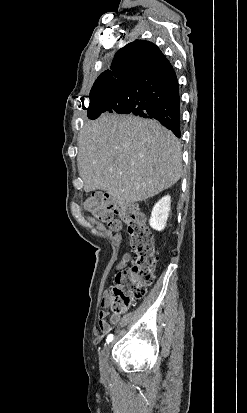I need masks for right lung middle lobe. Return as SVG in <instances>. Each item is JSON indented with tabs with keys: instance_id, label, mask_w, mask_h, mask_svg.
I'll return each instance as SVG.
<instances>
[{
	"instance_id": "right-lung-middle-lobe-1",
	"label": "right lung middle lobe",
	"mask_w": 247,
	"mask_h": 413,
	"mask_svg": "<svg viewBox=\"0 0 247 413\" xmlns=\"http://www.w3.org/2000/svg\"><path fill=\"white\" fill-rule=\"evenodd\" d=\"M133 94V89L127 82H107L95 81L90 91V104L88 109H92L99 102L111 96H129Z\"/></svg>"
}]
</instances>
